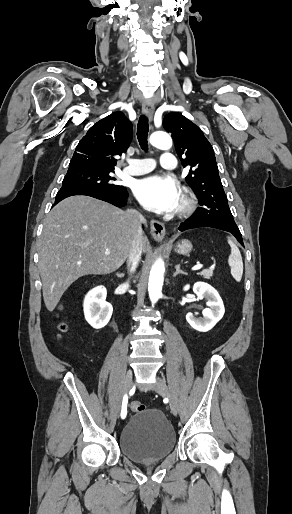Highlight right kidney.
Returning <instances> with one entry per match:
<instances>
[{
  "mask_svg": "<svg viewBox=\"0 0 292 514\" xmlns=\"http://www.w3.org/2000/svg\"><path fill=\"white\" fill-rule=\"evenodd\" d=\"M107 290L104 286H97L88 292L84 300L85 318L93 328H104L108 324L113 308L111 304L105 302Z\"/></svg>",
  "mask_w": 292,
  "mask_h": 514,
  "instance_id": "ca27d5eb",
  "label": "right kidney"
}]
</instances>
